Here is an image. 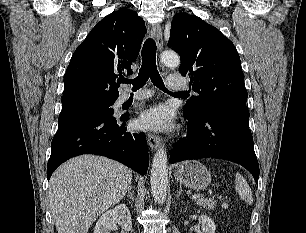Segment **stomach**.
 Listing matches in <instances>:
<instances>
[{"mask_svg":"<svg viewBox=\"0 0 306 233\" xmlns=\"http://www.w3.org/2000/svg\"><path fill=\"white\" fill-rule=\"evenodd\" d=\"M174 177L180 184L195 190L204 189L211 182L208 169L196 160L183 162L174 172Z\"/></svg>","mask_w":306,"mask_h":233,"instance_id":"obj_1","label":"stomach"}]
</instances>
